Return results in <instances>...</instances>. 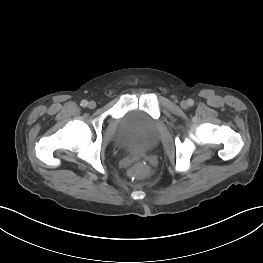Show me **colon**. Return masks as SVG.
I'll return each instance as SVG.
<instances>
[{
  "label": "colon",
  "mask_w": 263,
  "mask_h": 263,
  "mask_svg": "<svg viewBox=\"0 0 263 263\" xmlns=\"http://www.w3.org/2000/svg\"><path fill=\"white\" fill-rule=\"evenodd\" d=\"M149 172H150L149 167L143 162H139L135 164L130 169V174L137 178H144L149 175Z\"/></svg>",
  "instance_id": "1"
}]
</instances>
